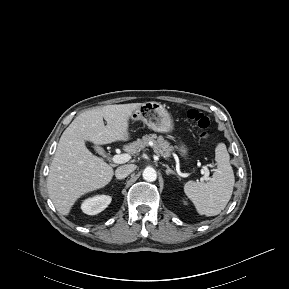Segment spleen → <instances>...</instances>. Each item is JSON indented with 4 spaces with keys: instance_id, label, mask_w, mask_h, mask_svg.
<instances>
[{
    "instance_id": "1",
    "label": "spleen",
    "mask_w": 289,
    "mask_h": 289,
    "mask_svg": "<svg viewBox=\"0 0 289 289\" xmlns=\"http://www.w3.org/2000/svg\"><path fill=\"white\" fill-rule=\"evenodd\" d=\"M217 169L210 181L206 183L188 181L184 192L193 202L200 215H218L229 202L235 182L230 165V157L224 143H219L215 149Z\"/></svg>"
}]
</instances>
